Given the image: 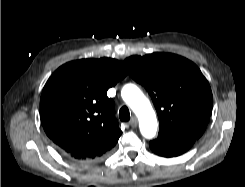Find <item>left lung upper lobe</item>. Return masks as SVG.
<instances>
[{
    "label": "left lung upper lobe",
    "mask_w": 245,
    "mask_h": 187,
    "mask_svg": "<svg viewBox=\"0 0 245 187\" xmlns=\"http://www.w3.org/2000/svg\"><path fill=\"white\" fill-rule=\"evenodd\" d=\"M131 77L154 102L158 139H199L212 111V92L200 69L188 59L168 53L132 56L124 61Z\"/></svg>",
    "instance_id": "1"
}]
</instances>
